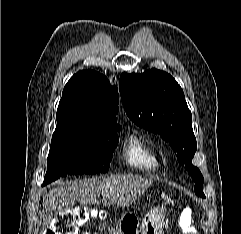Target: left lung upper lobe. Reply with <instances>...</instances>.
<instances>
[{"mask_svg": "<svg viewBox=\"0 0 241 234\" xmlns=\"http://www.w3.org/2000/svg\"><path fill=\"white\" fill-rule=\"evenodd\" d=\"M119 89L129 118L169 142L179 163L185 164L195 182V194L205 198L202 190L204 178L192 165L197 143L191 111L180 85L168 73L151 69L142 74H121Z\"/></svg>", "mask_w": 241, "mask_h": 234, "instance_id": "5c2ea615", "label": "left lung upper lobe"}]
</instances>
